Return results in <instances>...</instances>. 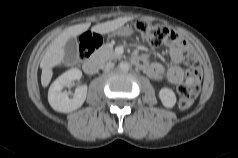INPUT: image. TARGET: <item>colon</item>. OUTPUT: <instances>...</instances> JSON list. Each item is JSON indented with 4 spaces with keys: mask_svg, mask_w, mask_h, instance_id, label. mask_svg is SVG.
<instances>
[{
    "mask_svg": "<svg viewBox=\"0 0 238 158\" xmlns=\"http://www.w3.org/2000/svg\"><path fill=\"white\" fill-rule=\"evenodd\" d=\"M133 26L140 33L142 38L154 47L160 46L175 35L168 27L146 20H137L133 23ZM101 43L102 39L97 35H83L80 39V56L82 58L88 56L98 48ZM184 62L188 67V81L178 88V103L182 109L189 108L193 104L199 94L202 78L199 58L192 49L189 48L186 52Z\"/></svg>",
    "mask_w": 238,
    "mask_h": 158,
    "instance_id": "obj_1",
    "label": "colon"
}]
</instances>
